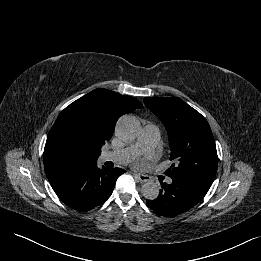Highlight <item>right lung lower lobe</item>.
<instances>
[{
	"label": "right lung lower lobe",
	"instance_id": "98d812e1",
	"mask_svg": "<svg viewBox=\"0 0 261 261\" xmlns=\"http://www.w3.org/2000/svg\"><path fill=\"white\" fill-rule=\"evenodd\" d=\"M120 168L100 169L97 163L61 173L49 182L67 206L85 212L105 202L113 192Z\"/></svg>",
	"mask_w": 261,
	"mask_h": 261
}]
</instances>
